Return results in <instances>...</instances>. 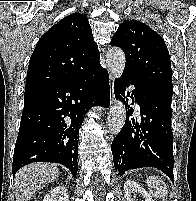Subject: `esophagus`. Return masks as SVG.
<instances>
[{
    "label": "esophagus",
    "mask_w": 196,
    "mask_h": 201,
    "mask_svg": "<svg viewBox=\"0 0 196 201\" xmlns=\"http://www.w3.org/2000/svg\"><path fill=\"white\" fill-rule=\"evenodd\" d=\"M110 88L112 91V96H111V103L113 104L115 102V95H114V80L112 79L110 82Z\"/></svg>",
    "instance_id": "1"
}]
</instances>
